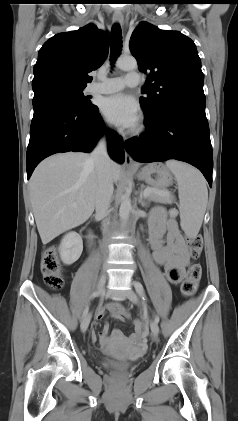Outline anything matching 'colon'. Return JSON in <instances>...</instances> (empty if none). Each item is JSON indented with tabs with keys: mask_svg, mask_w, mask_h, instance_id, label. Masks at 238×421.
<instances>
[{
	"mask_svg": "<svg viewBox=\"0 0 238 421\" xmlns=\"http://www.w3.org/2000/svg\"><path fill=\"white\" fill-rule=\"evenodd\" d=\"M188 243L192 258L197 259L202 251V238L200 236L190 237ZM41 272L48 287L53 290H59L63 287L64 276L56 249L49 248L43 253ZM200 278L201 266L198 263H192L181 285V293L184 297H190L196 292Z\"/></svg>",
	"mask_w": 238,
	"mask_h": 421,
	"instance_id": "5ec220e1",
	"label": "colon"
}]
</instances>
